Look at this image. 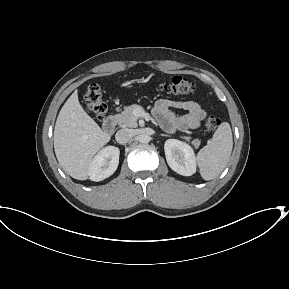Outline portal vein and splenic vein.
Here are the masks:
<instances>
[{"label": "portal vein and splenic vein", "instance_id": "obj_1", "mask_svg": "<svg viewBox=\"0 0 289 289\" xmlns=\"http://www.w3.org/2000/svg\"><path fill=\"white\" fill-rule=\"evenodd\" d=\"M140 115V111H135L134 116L137 117Z\"/></svg>", "mask_w": 289, "mask_h": 289}]
</instances>
